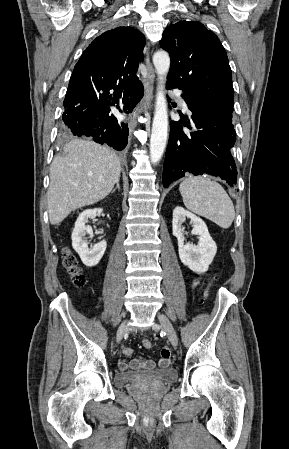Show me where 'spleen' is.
<instances>
[{
    "mask_svg": "<svg viewBox=\"0 0 289 449\" xmlns=\"http://www.w3.org/2000/svg\"><path fill=\"white\" fill-rule=\"evenodd\" d=\"M184 205L190 211L205 217L223 229L235 218L232 200L217 182L207 176H190L179 186Z\"/></svg>",
    "mask_w": 289,
    "mask_h": 449,
    "instance_id": "obj_1",
    "label": "spleen"
}]
</instances>
